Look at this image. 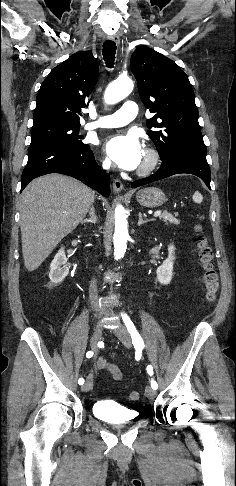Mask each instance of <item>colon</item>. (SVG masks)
<instances>
[{
  "mask_svg": "<svg viewBox=\"0 0 236 486\" xmlns=\"http://www.w3.org/2000/svg\"><path fill=\"white\" fill-rule=\"evenodd\" d=\"M198 247V259L203 268V280L206 290V301L207 303H212L219 289L218 274L214 268L213 264V253L211 248L208 246L205 237H200L197 243ZM140 398V393L138 391H131L129 394V399L136 401Z\"/></svg>",
  "mask_w": 236,
  "mask_h": 486,
  "instance_id": "1",
  "label": "colon"
}]
</instances>
